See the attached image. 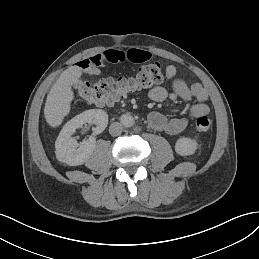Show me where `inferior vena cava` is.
Returning a JSON list of instances; mask_svg holds the SVG:
<instances>
[{
  "mask_svg": "<svg viewBox=\"0 0 259 259\" xmlns=\"http://www.w3.org/2000/svg\"><path fill=\"white\" fill-rule=\"evenodd\" d=\"M122 132V125L119 122H114L109 127V133L112 136H118Z\"/></svg>",
  "mask_w": 259,
  "mask_h": 259,
  "instance_id": "602c4592",
  "label": "inferior vena cava"
}]
</instances>
